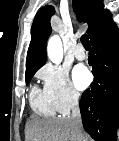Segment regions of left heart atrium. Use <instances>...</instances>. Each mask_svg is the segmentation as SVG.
Instances as JSON below:
<instances>
[{"label":"left heart atrium","instance_id":"obj_1","mask_svg":"<svg viewBox=\"0 0 119 141\" xmlns=\"http://www.w3.org/2000/svg\"><path fill=\"white\" fill-rule=\"evenodd\" d=\"M75 86L82 90L86 88L91 81V74L86 66L80 64L73 69L72 73Z\"/></svg>","mask_w":119,"mask_h":141}]
</instances>
